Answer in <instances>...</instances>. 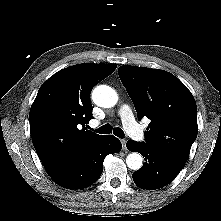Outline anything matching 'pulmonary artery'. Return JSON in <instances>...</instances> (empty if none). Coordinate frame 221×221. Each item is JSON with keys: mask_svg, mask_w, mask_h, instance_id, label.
I'll return each instance as SVG.
<instances>
[{"mask_svg": "<svg viewBox=\"0 0 221 221\" xmlns=\"http://www.w3.org/2000/svg\"><path fill=\"white\" fill-rule=\"evenodd\" d=\"M119 115L126 132L135 140L143 141L145 139L144 133L137 124L128 105L121 106Z\"/></svg>", "mask_w": 221, "mask_h": 221, "instance_id": "pulmonary-artery-1", "label": "pulmonary artery"}]
</instances>
